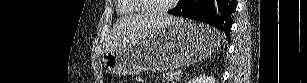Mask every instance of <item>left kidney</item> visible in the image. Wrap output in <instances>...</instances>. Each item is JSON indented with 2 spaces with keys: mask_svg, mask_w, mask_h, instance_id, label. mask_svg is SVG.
Returning <instances> with one entry per match:
<instances>
[{
  "mask_svg": "<svg viewBox=\"0 0 307 83\" xmlns=\"http://www.w3.org/2000/svg\"><path fill=\"white\" fill-rule=\"evenodd\" d=\"M188 83H216V79L213 76H198L192 78Z\"/></svg>",
  "mask_w": 307,
  "mask_h": 83,
  "instance_id": "left-kidney-1",
  "label": "left kidney"
}]
</instances>
